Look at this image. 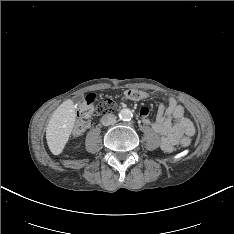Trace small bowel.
<instances>
[{"mask_svg": "<svg viewBox=\"0 0 234 234\" xmlns=\"http://www.w3.org/2000/svg\"><path fill=\"white\" fill-rule=\"evenodd\" d=\"M130 100L132 99L126 96ZM139 115L145 125H151L153 130L162 135L161 147L166 152H171L182 136H193L195 128L186 117L184 107L174 98H169L167 103H160L155 121L149 119V109L142 107Z\"/></svg>", "mask_w": 234, "mask_h": 234, "instance_id": "obj_1", "label": "small bowel"}]
</instances>
